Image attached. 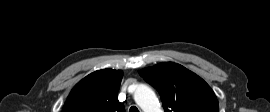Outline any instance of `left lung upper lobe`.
I'll use <instances>...</instances> for the list:
<instances>
[{"instance_id": "obj_1", "label": "left lung upper lobe", "mask_w": 270, "mask_h": 112, "mask_svg": "<svg viewBox=\"0 0 270 112\" xmlns=\"http://www.w3.org/2000/svg\"><path fill=\"white\" fill-rule=\"evenodd\" d=\"M140 74L158 90L165 112H219L210 86L182 65L163 62Z\"/></svg>"}]
</instances>
